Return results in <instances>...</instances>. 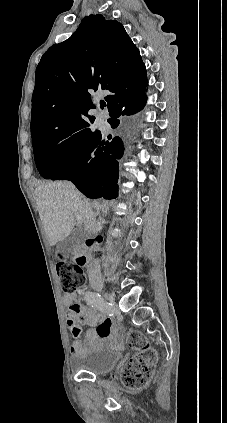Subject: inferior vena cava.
Returning a JSON list of instances; mask_svg holds the SVG:
<instances>
[{
  "label": "inferior vena cava",
  "instance_id": "obj_1",
  "mask_svg": "<svg viewBox=\"0 0 227 423\" xmlns=\"http://www.w3.org/2000/svg\"><path fill=\"white\" fill-rule=\"evenodd\" d=\"M83 208H85V215H86L85 225H87V227H90L91 229V225H95L96 223L95 215L93 211L91 210V208H89L88 202H83ZM97 245L98 243H94L92 247H94L95 249ZM88 275H89V281H99L101 277L100 259H93L88 269Z\"/></svg>",
  "mask_w": 227,
  "mask_h": 423
}]
</instances>
